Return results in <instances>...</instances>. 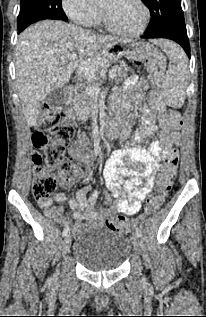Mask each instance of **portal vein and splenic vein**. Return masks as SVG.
<instances>
[{
  "label": "portal vein and splenic vein",
  "mask_w": 206,
  "mask_h": 317,
  "mask_svg": "<svg viewBox=\"0 0 206 317\" xmlns=\"http://www.w3.org/2000/svg\"><path fill=\"white\" fill-rule=\"evenodd\" d=\"M77 58V55L76 53L74 52H71L67 55V59L72 62L74 61L75 59ZM89 65L87 63H83L82 65V69H85V70H88L89 69ZM118 69V66H113V68L109 71V79H113L114 78V75H115V72L117 71ZM100 87L99 86H89L88 89H87V92L90 96L92 97H97L100 93Z\"/></svg>",
  "instance_id": "obj_1"
}]
</instances>
